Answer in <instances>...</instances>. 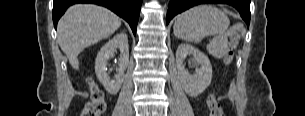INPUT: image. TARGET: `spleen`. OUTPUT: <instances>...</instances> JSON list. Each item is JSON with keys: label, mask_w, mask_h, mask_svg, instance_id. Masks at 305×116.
<instances>
[{"label": "spleen", "mask_w": 305, "mask_h": 116, "mask_svg": "<svg viewBox=\"0 0 305 116\" xmlns=\"http://www.w3.org/2000/svg\"><path fill=\"white\" fill-rule=\"evenodd\" d=\"M227 15L211 5H199L176 16L174 35L186 42L199 43L206 36H216L213 45H225L224 33L229 26Z\"/></svg>", "instance_id": "obj_1"}]
</instances>
